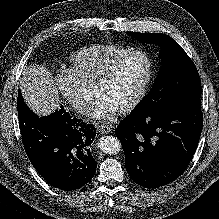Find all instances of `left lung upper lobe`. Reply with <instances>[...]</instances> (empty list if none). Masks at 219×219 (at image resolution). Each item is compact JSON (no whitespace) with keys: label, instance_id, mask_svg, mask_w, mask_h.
<instances>
[{"label":"left lung upper lobe","instance_id":"obj_1","mask_svg":"<svg viewBox=\"0 0 219 219\" xmlns=\"http://www.w3.org/2000/svg\"><path fill=\"white\" fill-rule=\"evenodd\" d=\"M136 40L158 44L163 65L151 91L131 114H153L179 103L201 98V82L196 66L184 49L161 33L128 32Z\"/></svg>","mask_w":219,"mask_h":219}]
</instances>
